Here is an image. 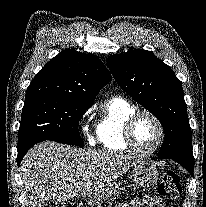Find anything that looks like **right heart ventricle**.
I'll return each instance as SVG.
<instances>
[{"label":"right heart ventricle","mask_w":206,"mask_h":207,"mask_svg":"<svg viewBox=\"0 0 206 207\" xmlns=\"http://www.w3.org/2000/svg\"><path fill=\"white\" fill-rule=\"evenodd\" d=\"M137 111L135 105L124 98L108 100L96 124L97 141L107 151L124 153L130 149L124 142L123 128L127 119Z\"/></svg>","instance_id":"1"}]
</instances>
